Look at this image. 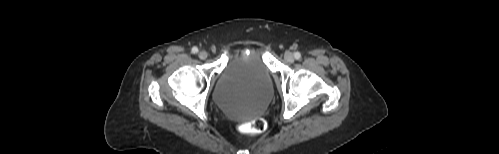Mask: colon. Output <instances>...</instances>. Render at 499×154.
I'll list each match as a JSON object with an SVG mask.
<instances>
[{"mask_svg":"<svg viewBox=\"0 0 499 154\" xmlns=\"http://www.w3.org/2000/svg\"><path fill=\"white\" fill-rule=\"evenodd\" d=\"M266 128L265 121L261 118H256L249 123L240 126V130L245 133H260Z\"/></svg>","mask_w":499,"mask_h":154,"instance_id":"1","label":"colon"}]
</instances>
